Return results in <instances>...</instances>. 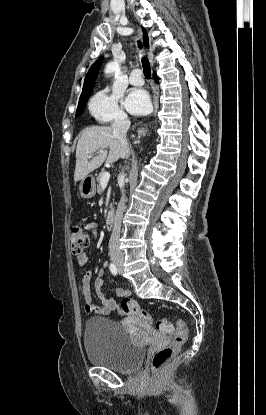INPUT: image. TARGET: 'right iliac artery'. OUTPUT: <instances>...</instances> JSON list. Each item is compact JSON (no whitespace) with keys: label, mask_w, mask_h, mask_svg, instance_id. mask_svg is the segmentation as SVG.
<instances>
[{"label":"right iliac artery","mask_w":266,"mask_h":415,"mask_svg":"<svg viewBox=\"0 0 266 415\" xmlns=\"http://www.w3.org/2000/svg\"><path fill=\"white\" fill-rule=\"evenodd\" d=\"M110 271L113 275H117L118 270H117V267L114 263L110 264Z\"/></svg>","instance_id":"1"}]
</instances>
